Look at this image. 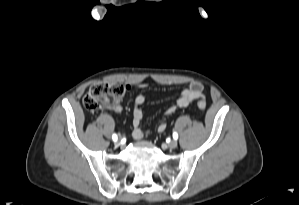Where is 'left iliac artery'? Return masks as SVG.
I'll return each instance as SVG.
<instances>
[{
	"instance_id": "44dca946",
	"label": "left iliac artery",
	"mask_w": 299,
	"mask_h": 205,
	"mask_svg": "<svg viewBox=\"0 0 299 205\" xmlns=\"http://www.w3.org/2000/svg\"><path fill=\"white\" fill-rule=\"evenodd\" d=\"M173 138L176 140L178 139V134L176 132L173 133Z\"/></svg>"
}]
</instances>
